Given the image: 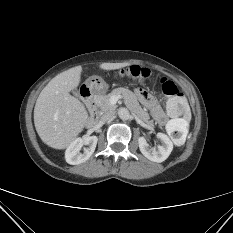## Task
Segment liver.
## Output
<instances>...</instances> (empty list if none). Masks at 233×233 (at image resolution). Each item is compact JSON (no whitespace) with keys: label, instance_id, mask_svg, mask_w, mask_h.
<instances>
[{"label":"liver","instance_id":"1","mask_svg":"<svg viewBox=\"0 0 233 233\" xmlns=\"http://www.w3.org/2000/svg\"><path fill=\"white\" fill-rule=\"evenodd\" d=\"M129 63H102L103 70H116ZM82 67L76 66L55 76L41 91L34 107V124L41 140L49 147L65 149L83 131L88 112L70 95L81 80Z\"/></svg>","mask_w":233,"mask_h":233}]
</instances>
